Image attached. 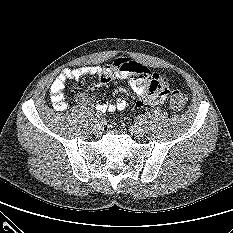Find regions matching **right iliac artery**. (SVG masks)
I'll use <instances>...</instances> for the list:
<instances>
[{
	"label": "right iliac artery",
	"mask_w": 233,
	"mask_h": 233,
	"mask_svg": "<svg viewBox=\"0 0 233 233\" xmlns=\"http://www.w3.org/2000/svg\"><path fill=\"white\" fill-rule=\"evenodd\" d=\"M95 116H96L95 120H101L102 114L100 112H97Z\"/></svg>",
	"instance_id": "1"
}]
</instances>
